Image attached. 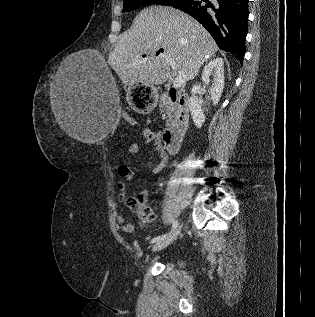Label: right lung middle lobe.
Listing matches in <instances>:
<instances>
[{"label":"right lung middle lobe","instance_id":"obj_1","mask_svg":"<svg viewBox=\"0 0 315 317\" xmlns=\"http://www.w3.org/2000/svg\"><path fill=\"white\" fill-rule=\"evenodd\" d=\"M179 0H123V12L132 11L141 6L158 4L172 6Z\"/></svg>","mask_w":315,"mask_h":317}]
</instances>
